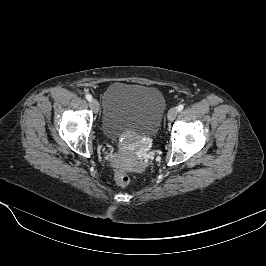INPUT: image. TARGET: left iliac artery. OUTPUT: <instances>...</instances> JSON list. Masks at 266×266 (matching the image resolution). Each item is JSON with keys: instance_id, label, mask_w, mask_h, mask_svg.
Instances as JSON below:
<instances>
[{"instance_id": "1", "label": "left iliac artery", "mask_w": 266, "mask_h": 266, "mask_svg": "<svg viewBox=\"0 0 266 266\" xmlns=\"http://www.w3.org/2000/svg\"><path fill=\"white\" fill-rule=\"evenodd\" d=\"M183 108H184V105H183V104H180V105H178V107H177V111L180 112V111L183 110Z\"/></svg>"}]
</instances>
